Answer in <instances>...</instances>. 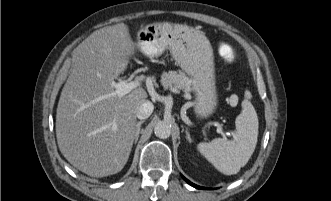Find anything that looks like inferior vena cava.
<instances>
[{
  "label": "inferior vena cava",
  "mask_w": 331,
  "mask_h": 201,
  "mask_svg": "<svg viewBox=\"0 0 331 201\" xmlns=\"http://www.w3.org/2000/svg\"><path fill=\"white\" fill-rule=\"evenodd\" d=\"M154 105L152 102L145 100L136 109V116L139 119H147L153 112Z\"/></svg>",
  "instance_id": "602c4592"
}]
</instances>
